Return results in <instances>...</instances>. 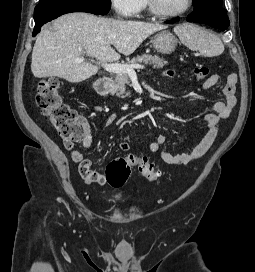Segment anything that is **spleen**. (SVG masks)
Returning <instances> with one entry per match:
<instances>
[{
  "label": "spleen",
  "instance_id": "1",
  "mask_svg": "<svg viewBox=\"0 0 255 272\" xmlns=\"http://www.w3.org/2000/svg\"><path fill=\"white\" fill-rule=\"evenodd\" d=\"M174 32L185 46L206 57L218 56L224 51L221 39L205 28L185 23L175 27Z\"/></svg>",
  "mask_w": 255,
  "mask_h": 272
}]
</instances>
